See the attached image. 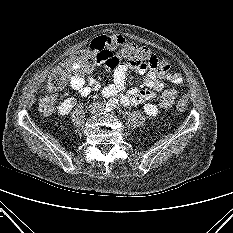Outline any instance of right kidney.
Returning <instances> with one entry per match:
<instances>
[{
  "mask_svg": "<svg viewBox=\"0 0 233 233\" xmlns=\"http://www.w3.org/2000/svg\"><path fill=\"white\" fill-rule=\"evenodd\" d=\"M74 104H76V100L75 98H67L66 100H64V102H62L60 104V106L58 107V111L61 115H66L68 113H70V111L72 110V108L74 107Z\"/></svg>",
  "mask_w": 233,
  "mask_h": 233,
  "instance_id": "right-kidney-1",
  "label": "right kidney"
}]
</instances>
